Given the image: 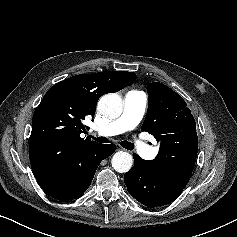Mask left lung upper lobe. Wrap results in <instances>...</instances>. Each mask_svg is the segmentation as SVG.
I'll list each match as a JSON object with an SVG mask.
<instances>
[{
	"label": "left lung upper lobe",
	"mask_w": 237,
	"mask_h": 237,
	"mask_svg": "<svg viewBox=\"0 0 237 237\" xmlns=\"http://www.w3.org/2000/svg\"><path fill=\"white\" fill-rule=\"evenodd\" d=\"M147 92L149 107L141 129L160 142L153 161L169 171L192 174L198 137L190 109L178 93L162 83H150Z\"/></svg>",
	"instance_id": "obj_1"
}]
</instances>
